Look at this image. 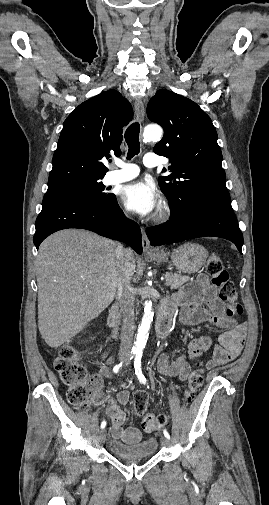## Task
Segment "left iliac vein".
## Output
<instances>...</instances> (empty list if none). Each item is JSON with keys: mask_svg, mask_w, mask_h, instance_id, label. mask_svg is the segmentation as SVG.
<instances>
[{"mask_svg": "<svg viewBox=\"0 0 269 505\" xmlns=\"http://www.w3.org/2000/svg\"><path fill=\"white\" fill-rule=\"evenodd\" d=\"M161 444L166 447L170 445L169 440L166 437L161 438Z\"/></svg>", "mask_w": 269, "mask_h": 505, "instance_id": "1", "label": "left iliac vein"}]
</instances>
